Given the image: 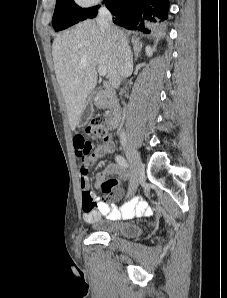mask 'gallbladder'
<instances>
[{
    "label": "gallbladder",
    "instance_id": "1",
    "mask_svg": "<svg viewBox=\"0 0 227 298\" xmlns=\"http://www.w3.org/2000/svg\"><path fill=\"white\" fill-rule=\"evenodd\" d=\"M92 115H93V105H92L91 98H89L85 108L83 109V111L81 113L78 127H82V126L86 125L88 123V121L90 120V118L92 117Z\"/></svg>",
    "mask_w": 227,
    "mask_h": 298
}]
</instances>
